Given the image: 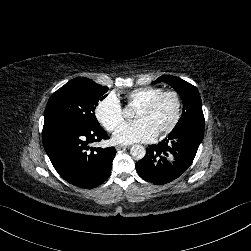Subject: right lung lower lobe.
<instances>
[{
    "mask_svg": "<svg viewBox=\"0 0 251 251\" xmlns=\"http://www.w3.org/2000/svg\"><path fill=\"white\" fill-rule=\"evenodd\" d=\"M108 138L98 122L83 125L65 118L45 119L42 131L44 149L59 175L88 189L108 179L116 154L114 147L90 148L88 144Z\"/></svg>",
    "mask_w": 251,
    "mask_h": 251,
    "instance_id": "obj_1",
    "label": "right lung lower lobe"
}]
</instances>
